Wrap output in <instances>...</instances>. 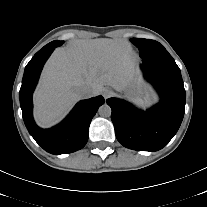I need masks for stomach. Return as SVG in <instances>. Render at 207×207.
Here are the masks:
<instances>
[{"mask_svg": "<svg viewBox=\"0 0 207 207\" xmlns=\"http://www.w3.org/2000/svg\"><path fill=\"white\" fill-rule=\"evenodd\" d=\"M136 102L139 105L144 106L150 102V97L147 94H142L141 96L136 97Z\"/></svg>", "mask_w": 207, "mask_h": 207, "instance_id": "1", "label": "stomach"}]
</instances>
